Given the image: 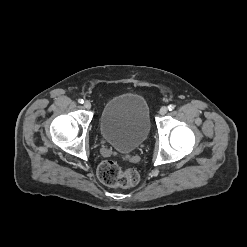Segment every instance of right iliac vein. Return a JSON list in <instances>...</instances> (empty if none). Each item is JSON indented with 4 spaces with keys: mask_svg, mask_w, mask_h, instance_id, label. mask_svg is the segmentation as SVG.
Instances as JSON below:
<instances>
[{
    "mask_svg": "<svg viewBox=\"0 0 247 247\" xmlns=\"http://www.w3.org/2000/svg\"><path fill=\"white\" fill-rule=\"evenodd\" d=\"M86 109H90L91 108V103L89 101H85L84 105H83Z\"/></svg>",
    "mask_w": 247,
    "mask_h": 247,
    "instance_id": "obj_1",
    "label": "right iliac vein"
}]
</instances>
